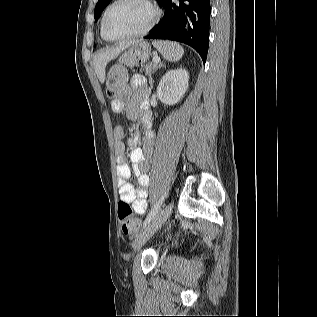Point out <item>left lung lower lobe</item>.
I'll return each instance as SVG.
<instances>
[{
	"mask_svg": "<svg viewBox=\"0 0 317 317\" xmlns=\"http://www.w3.org/2000/svg\"><path fill=\"white\" fill-rule=\"evenodd\" d=\"M165 0L162 20L146 39H168L193 47L205 63L209 43L210 0Z\"/></svg>",
	"mask_w": 317,
	"mask_h": 317,
	"instance_id": "obj_1",
	"label": "left lung lower lobe"
}]
</instances>
